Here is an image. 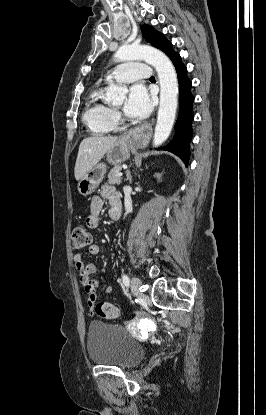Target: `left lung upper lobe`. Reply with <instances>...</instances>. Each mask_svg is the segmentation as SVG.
Masks as SVG:
<instances>
[{"label":"left lung upper lobe","instance_id":"obj_1","mask_svg":"<svg viewBox=\"0 0 266 415\" xmlns=\"http://www.w3.org/2000/svg\"><path fill=\"white\" fill-rule=\"evenodd\" d=\"M141 31L147 42L151 43L153 47L162 50L169 58L176 54L173 50L172 43L165 39L163 34L153 29L152 26L146 24L141 25Z\"/></svg>","mask_w":266,"mask_h":415}]
</instances>
